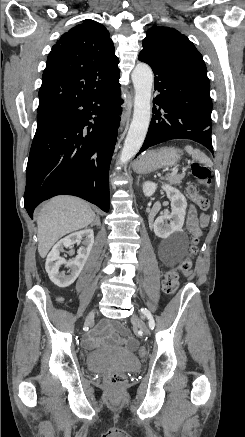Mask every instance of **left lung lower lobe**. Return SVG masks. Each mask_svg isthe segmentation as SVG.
Segmentation results:
<instances>
[{
	"label": "left lung lower lobe",
	"mask_w": 245,
	"mask_h": 437,
	"mask_svg": "<svg viewBox=\"0 0 245 437\" xmlns=\"http://www.w3.org/2000/svg\"><path fill=\"white\" fill-rule=\"evenodd\" d=\"M138 59L152 68L154 87L159 93L153 99L155 115L136 157L149 147L171 139H190L213 153L210 87L162 66L147 55L139 54Z\"/></svg>",
	"instance_id": "1"
}]
</instances>
